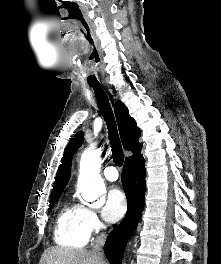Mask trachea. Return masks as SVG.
I'll return each mask as SVG.
<instances>
[{"instance_id":"obj_1","label":"trachea","mask_w":221,"mask_h":264,"mask_svg":"<svg viewBox=\"0 0 221 264\" xmlns=\"http://www.w3.org/2000/svg\"><path fill=\"white\" fill-rule=\"evenodd\" d=\"M90 87H92L94 90L98 106L108 126V134L112 148L113 162L116 164V166L121 167L124 161V154L118 136L115 118L110 103L108 101L107 94L105 93L101 85H90Z\"/></svg>"}]
</instances>
